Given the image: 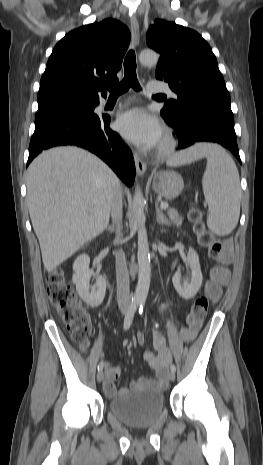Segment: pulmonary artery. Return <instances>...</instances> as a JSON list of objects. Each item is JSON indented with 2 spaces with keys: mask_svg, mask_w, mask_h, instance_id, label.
Segmentation results:
<instances>
[{
  "mask_svg": "<svg viewBox=\"0 0 263 465\" xmlns=\"http://www.w3.org/2000/svg\"><path fill=\"white\" fill-rule=\"evenodd\" d=\"M148 91L150 92H166L169 93L172 97H176V94L172 92L167 86L150 82L148 84Z\"/></svg>",
  "mask_w": 263,
  "mask_h": 465,
  "instance_id": "obj_1",
  "label": "pulmonary artery"
}]
</instances>
